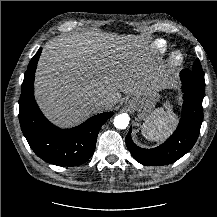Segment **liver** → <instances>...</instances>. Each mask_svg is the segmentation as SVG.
I'll return each instance as SVG.
<instances>
[{
    "label": "liver",
    "mask_w": 217,
    "mask_h": 217,
    "mask_svg": "<svg viewBox=\"0 0 217 217\" xmlns=\"http://www.w3.org/2000/svg\"><path fill=\"white\" fill-rule=\"evenodd\" d=\"M135 44L97 33L59 35L41 53L35 96L42 111L56 125L75 126L93 112L89 103L107 99L104 109L121 100V92L141 95L158 85L141 64Z\"/></svg>",
    "instance_id": "1"
}]
</instances>
